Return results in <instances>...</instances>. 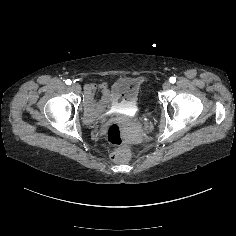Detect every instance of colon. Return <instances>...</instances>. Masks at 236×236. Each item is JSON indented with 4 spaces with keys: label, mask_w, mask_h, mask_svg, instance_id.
<instances>
[{
    "label": "colon",
    "mask_w": 236,
    "mask_h": 236,
    "mask_svg": "<svg viewBox=\"0 0 236 236\" xmlns=\"http://www.w3.org/2000/svg\"><path fill=\"white\" fill-rule=\"evenodd\" d=\"M107 141L115 147L112 160L116 163H124L130 158L131 150L124 138V124L121 121H113L106 130Z\"/></svg>",
    "instance_id": "5ec220e1"
}]
</instances>
